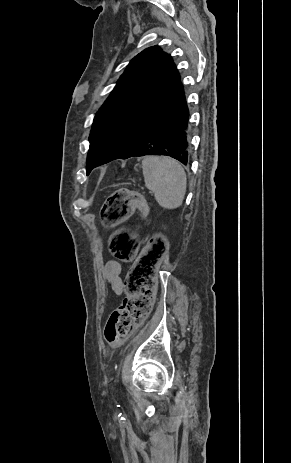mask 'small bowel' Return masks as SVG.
Listing matches in <instances>:
<instances>
[{"mask_svg": "<svg viewBox=\"0 0 291 463\" xmlns=\"http://www.w3.org/2000/svg\"><path fill=\"white\" fill-rule=\"evenodd\" d=\"M103 277L111 290L120 296L123 292L122 265L115 260L107 261L103 268Z\"/></svg>", "mask_w": 291, "mask_h": 463, "instance_id": "c3829d8e", "label": "small bowel"}]
</instances>
